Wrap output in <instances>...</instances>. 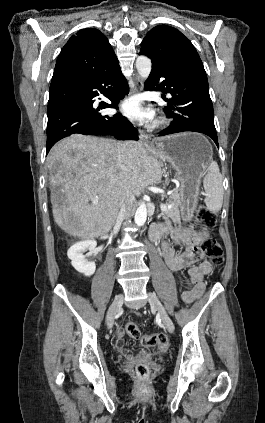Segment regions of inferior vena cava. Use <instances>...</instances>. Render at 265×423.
<instances>
[{"instance_id":"obj_1","label":"inferior vena cava","mask_w":265,"mask_h":423,"mask_svg":"<svg viewBox=\"0 0 265 423\" xmlns=\"http://www.w3.org/2000/svg\"><path fill=\"white\" fill-rule=\"evenodd\" d=\"M126 144L119 142L116 144V150L118 155V161L122 170H125V164L123 161V152L125 151ZM135 201L134 194L130 189V186L127 184L121 188L120 197H119V218H127L132 212V205Z\"/></svg>"}]
</instances>
